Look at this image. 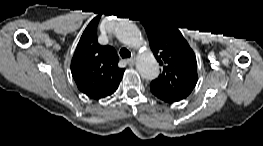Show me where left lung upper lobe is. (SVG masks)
<instances>
[{"instance_id":"5c2ea615","label":"left lung upper lobe","mask_w":263,"mask_h":146,"mask_svg":"<svg viewBox=\"0 0 263 146\" xmlns=\"http://www.w3.org/2000/svg\"><path fill=\"white\" fill-rule=\"evenodd\" d=\"M144 27L151 50L162 66V73L151 84L177 101L186 98L197 83V62L193 50L171 24L147 22Z\"/></svg>"}]
</instances>
